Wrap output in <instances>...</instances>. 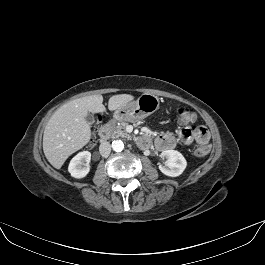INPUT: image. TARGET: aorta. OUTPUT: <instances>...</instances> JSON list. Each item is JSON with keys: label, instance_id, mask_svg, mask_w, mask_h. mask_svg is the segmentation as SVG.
Listing matches in <instances>:
<instances>
[{"label": "aorta", "instance_id": "obj_1", "mask_svg": "<svg viewBox=\"0 0 265 265\" xmlns=\"http://www.w3.org/2000/svg\"><path fill=\"white\" fill-rule=\"evenodd\" d=\"M112 149L115 152H121L124 149V143L122 140H114L112 142Z\"/></svg>", "mask_w": 265, "mask_h": 265}]
</instances>
